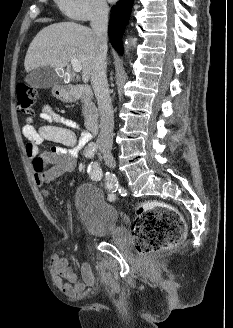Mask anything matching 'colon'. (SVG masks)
<instances>
[{
  "label": "colon",
  "instance_id": "obj_1",
  "mask_svg": "<svg viewBox=\"0 0 233 328\" xmlns=\"http://www.w3.org/2000/svg\"><path fill=\"white\" fill-rule=\"evenodd\" d=\"M19 110L26 115L32 113L37 102V92L24 82L16 86ZM35 166L41 170L44 159L38 157ZM186 235V223L181 213L171 205L158 201L145 202L137 206L132 228V240L140 255H148L177 246Z\"/></svg>",
  "mask_w": 233,
  "mask_h": 328
}]
</instances>
